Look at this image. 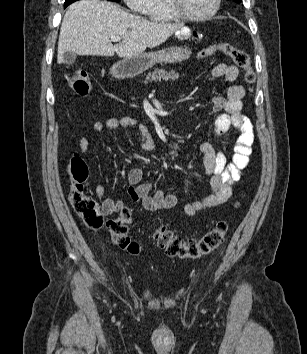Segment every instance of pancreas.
Masks as SVG:
<instances>
[{"label": "pancreas", "mask_w": 307, "mask_h": 354, "mask_svg": "<svg viewBox=\"0 0 307 354\" xmlns=\"http://www.w3.org/2000/svg\"><path fill=\"white\" fill-rule=\"evenodd\" d=\"M179 74L175 73V71H169L167 72L166 70H158L155 69L152 74H148L146 77V80L144 81V83H148V81H169V80H176L178 79Z\"/></svg>", "instance_id": "obj_1"}]
</instances>
